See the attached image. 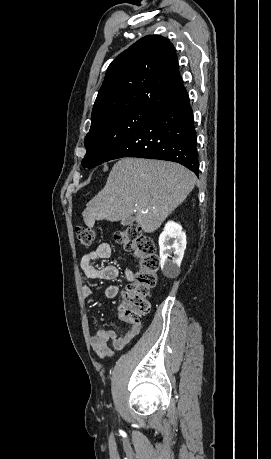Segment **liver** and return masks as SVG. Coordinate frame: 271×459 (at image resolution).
I'll list each match as a JSON object with an SVG mask.
<instances>
[{
    "label": "liver",
    "mask_w": 271,
    "mask_h": 459,
    "mask_svg": "<svg viewBox=\"0 0 271 459\" xmlns=\"http://www.w3.org/2000/svg\"><path fill=\"white\" fill-rule=\"evenodd\" d=\"M196 180L193 172L175 162L120 158L105 188L88 202L83 220L93 228L95 220L118 222L136 214L140 228L151 233L186 200Z\"/></svg>",
    "instance_id": "liver-1"
}]
</instances>
